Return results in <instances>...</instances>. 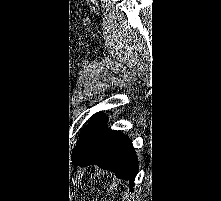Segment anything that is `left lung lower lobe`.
Instances as JSON below:
<instances>
[{
    "label": "left lung lower lobe",
    "mask_w": 221,
    "mask_h": 201,
    "mask_svg": "<svg viewBox=\"0 0 221 201\" xmlns=\"http://www.w3.org/2000/svg\"><path fill=\"white\" fill-rule=\"evenodd\" d=\"M73 164L86 166L96 164L110 170L118 178L130 181L131 189L138 171L137 157L129 138L119 131L107 128L105 118L92 142L72 156Z\"/></svg>",
    "instance_id": "left-lung-lower-lobe-1"
}]
</instances>
